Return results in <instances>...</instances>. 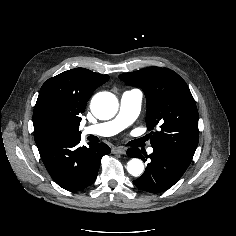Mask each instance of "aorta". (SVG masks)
<instances>
[{"label": "aorta", "mask_w": 236, "mask_h": 236, "mask_svg": "<svg viewBox=\"0 0 236 236\" xmlns=\"http://www.w3.org/2000/svg\"><path fill=\"white\" fill-rule=\"evenodd\" d=\"M91 110L98 119H110L118 111V100L110 92L97 93L91 100ZM143 170L144 164L140 159L133 158L127 164V171L133 176H139L143 173Z\"/></svg>", "instance_id": "obj_1"}]
</instances>
